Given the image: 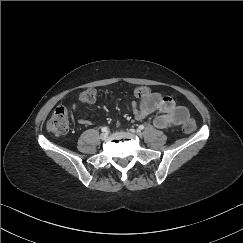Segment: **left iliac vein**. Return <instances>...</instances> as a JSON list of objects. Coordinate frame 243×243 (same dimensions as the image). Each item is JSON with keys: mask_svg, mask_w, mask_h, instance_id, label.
I'll return each mask as SVG.
<instances>
[{"mask_svg": "<svg viewBox=\"0 0 243 243\" xmlns=\"http://www.w3.org/2000/svg\"><path fill=\"white\" fill-rule=\"evenodd\" d=\"M137 134H138L139 136H141V132H137Z\"/></svg>", "mask_w": 243, "mask_h": 243, "instance_id": "obj_1", "label": "left iliac vein"}]
</instances>
